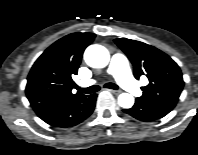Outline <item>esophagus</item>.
I'll list each match as a JSON object with an SVG mask.
<instances>
[{
  "instance_id": "34e87169",
  "label": "esophagus",
  "mask_w": 198,
  "mask_h": 155,
  "mask_svg": "<svg viewBox=\"0 0 198 155\" xmlns=\"http://www.w3.org/2000/svg\"><path fill=\"white\" fill-rule=\"evenodd\" d=\"M113 94H116V95H118V94H120L121 93V91L120 90H110Z\"/></svg>"
}]
</instances>
